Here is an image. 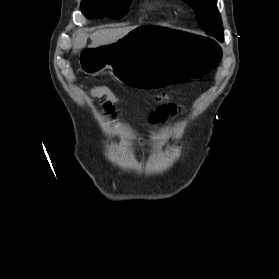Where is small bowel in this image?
Returning <instances> with one entry per match:
<instances>
[{"instance_id": "c3829d8e", "label": "small bowel", "mask_w": 279, "mask_h": 279, "mask_svg": "<svg viewBox=\"0 0 279 279\" xmlns=\"http://www.w3.org/2000/svg\"><path fill=\"white\" fill-rule=\"evenodd\" d=\"M102 106L111 119L116 118L117 114L115 111L114 103L102 99ZM180 111L181 108L174 103L159 104L150 113L148 123L150 126H153L161 121H165L168 118L177 115Z\"/></svg>"}]
</instances>
